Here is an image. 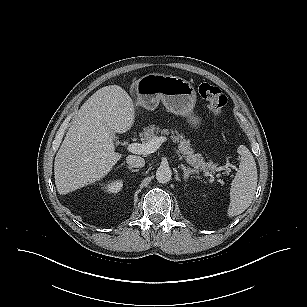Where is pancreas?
I'll return each instance as SVG.
<instances>
[{
    "instance_id": "cf45deb5",
    "label": "pancreas",
    "mask_w": 307,
    "mask_h": 307,
    "mask_svg": "<svg viewBox=\"0 0 307 307\" xmlns=\"http://www.w3.org/2000/svg\"><path fill=\"white\" fill-rule=\"evenodd\" d=\"M169 135L170 132L168 129H160L159 126L150 125L143 129V138L144 142H149L157 134ZM171 138L175 143H178L179 152H181L186 158L187 162L194 166L195 169H201L204 171L216 172L218 170L217 164L213 162H205L204 158L200 153H195L190 147V141L184 139L182 134H179L178 131L171 130Z\"/></svg>"
}]
</instances>
